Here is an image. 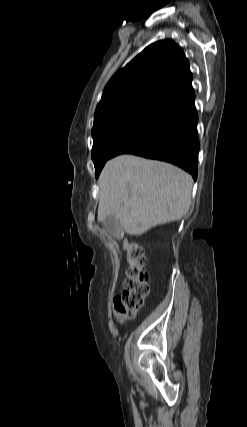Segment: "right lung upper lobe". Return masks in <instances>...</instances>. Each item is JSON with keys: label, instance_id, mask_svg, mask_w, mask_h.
Returning <instances> with one entry per match:
<instances>
[{"label": "right lung upper lobe", "instance_id": "1", "mask_svg": "<svg viewBox=\"0 0 247 427\" xmlns=\"http://www.w3.org/2000/svg\"><path fill=\"white\" fill-rule=\"evenodd\" d=\"M189 62L180 46L167 39L146 47L107 83L94 120L129 107L157 108L192 87Z\"/></svg>", "mask_w": 247, "mask_h": 427}]
</instances>
